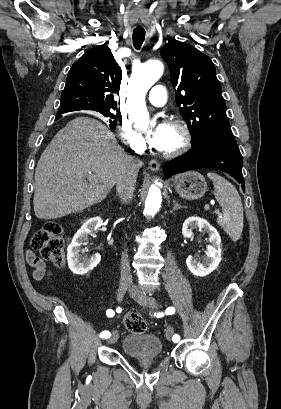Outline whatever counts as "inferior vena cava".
Returning <instances> with one entry per match:
<instances>
[{
  "label": "inferior vena cava",
  "mask_w": 281,
  "mask_h": 409,
  "mask_svg": "<svg viewBox=\"0 0 281 409\" xmlns=\"http://www.w3.org/2000/svg\"><path fill=\"white\" fill-rule=\"evenodd\" d=\"M136 162L137 160L131 156V158H126L125 162L120 164L122 172H120L117 180V192L120 198H130L134 192L138 172V164ZM120 273L121 281L132 283V275L126 253H122Z\"/></svg>",
  "instance_id": "602c4592"
}]
</instances>
